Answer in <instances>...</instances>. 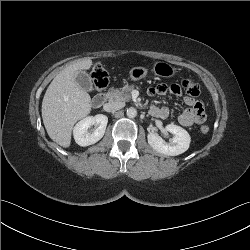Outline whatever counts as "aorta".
<instances>
[{
	"mask_svg": "<svg viewBox=\"0 0 250 250\" xmlns=\"http://www.w3.org/2000/svg\"><path fill=\"white\" fill-rule=\"evenodd\" d=\"M127 116H128L129 118H134V117H136V116H137V110H136L135 108H133V107L128 108V109H127Z\"/></svg>",
	"mask_w": 250,
	"mask_h": 250,
	"instance_id": "762f6f07",
	"label": "aorta"
}]
</instances>
